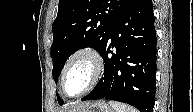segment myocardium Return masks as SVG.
<instances>
[{"label": "myocardium", "instance_id": "1", "mask_svg": "<svg viewBox=\"0 0 193 112\" xmlns=\"http://www.w3.org/2000/svg\"><path fill=\"white\" fill-rule=\"evenodd\" d=\"M79 58H86L90 61L92 65V76L88 85L81 92L75 95H71L67 92V89H66V75L71 64ZM103 71H104V60L100 52L95 47L83 46L76 49L66 59L64 67L62 69L61 86L64 94L68 97H73V98L81 97L87 94L98 84V82L102 77Z\"/></svg>", "mask_w": 193, "mask_h": 112}]
</instances>
